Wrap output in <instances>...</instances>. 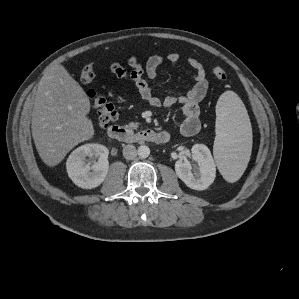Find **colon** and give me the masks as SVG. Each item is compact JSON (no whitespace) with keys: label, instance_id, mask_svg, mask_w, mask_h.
Listing matches in <instances>:
<instances>
[{"label":"colon","instance_id":"obj_1","mask_svg":"<svg viewBox=\"0 0 299 299\" xmlns=\"http://www.w3.org/2000/svg\"><path fill=\"white\" fill-rule=\"evenodd\" d=\"M213 75L219 80H225L227 78V73L221 67H215L213 69ZM94 77L95 69L92 64L86 65L80 73V80L84 84L91 83ZM88 96L98 115L99 125L102 128L108 127V125L117 118L116 109L104 97L99 96L94 90H89Z\"/></svg>","mask_w":299,"mask_h":299}]
</instances>
